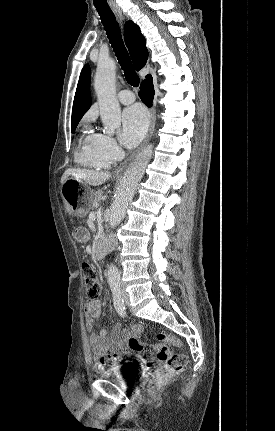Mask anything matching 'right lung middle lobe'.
<instances>
[{"mask_svg": "<svg viewBox=\"0 0 275 431\" xmlns=\"http://www.w3.org/2000/svg\"><path fill=\"white\" fill-rule=\"evenodd\" d=\"M76 127H77V126H73V127H72V133L75 131Z\"/></svg>", "mask_w": 275, "mask_h": 431, "instance_id": "dd1d6c3e", "label": "right lung middle lobe"}]
</instances>
